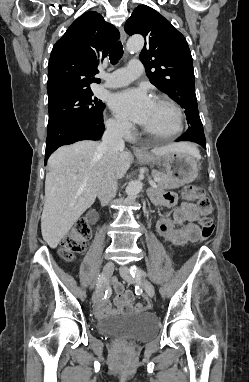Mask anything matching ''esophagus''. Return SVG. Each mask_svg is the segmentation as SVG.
I'll return each mask as SVG.
<instances>
[{"label":"esophagus","mask_w":249,"mask_h":382,"mask_svg":"<svg viewBox=\"0 0 249 382\" xmlns=\"http://www.w3.org/2000/svg\"><path fill=\"white\" fill-rule=\"evenodd\" d=\"M119 31H120V38H121V41H122V42H125L126 39H127V36H126V33H125L123 27H121V28L119 29ZM132 149H133L134 153H136V154H142V153H144V150L141 149V148H139V147H137V146H133Z\"/></svg>","instance_id":"1"}]
</instances>
